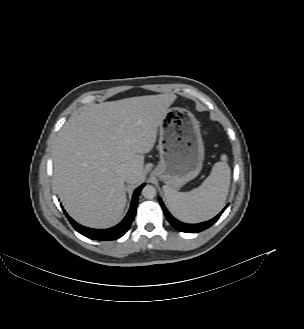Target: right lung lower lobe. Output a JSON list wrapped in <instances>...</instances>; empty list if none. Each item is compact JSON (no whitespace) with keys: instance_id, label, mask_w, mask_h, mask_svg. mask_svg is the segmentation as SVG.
Wrapping results in <instances>:
<instances>
[{"instance_id":"obj_1","label":"right lung lower lobe","mask_w":304,"mask_h":329,"mask_svg":"<svg viewBox=\"0 0 304 329\" xmlns=\"http://www.w3.org/2000/svg\"><path fill=\"white\" fill-rule=\"evenodd\" d=\"M145 184H142L140 187H138L132 198L130 209L126 215V217L119 223L117 226L105 230H99V229H91L84 227L78 223H76L73 219H71L68 214L65 212L68 220L72 224V226L82 235H84L87 238L94 239V240H102V241H108V240H115L120 237H122L130 228V225L134 219L135 213H136V206L138 203V195L141 191V189L144 187Z\"/></svg>"}]
</instances>
